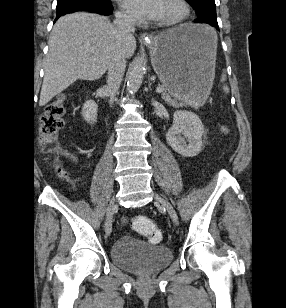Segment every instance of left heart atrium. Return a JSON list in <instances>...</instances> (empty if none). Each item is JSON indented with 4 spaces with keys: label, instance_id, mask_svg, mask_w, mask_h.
Listing matches in <instances>:
<instances>
[{
    "label": "left heart atrium",
    "instance_id": "39dd6f15",
    "mask_svg": "<svg viewBox=\"0 0 286 308\" xmlns=\"http://www.w3.org/2000/svg\"><path fill=\"white\" fill-rule=\"evenodd\" d=\"M121 6L136 19H157L161 0H119Z\"/></svg>",
    "mask_w": 286,
    "mask_h": 308
}]
</instances>
